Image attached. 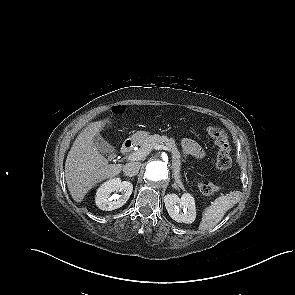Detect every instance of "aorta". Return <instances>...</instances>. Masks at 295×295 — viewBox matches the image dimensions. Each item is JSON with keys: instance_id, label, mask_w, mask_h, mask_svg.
Segmentation results:
<instances>
[{"instance_id": "aorta-1", "label": "aorta", "mask_w": 295, "mask_h": 295, "mask_svg": "<svg viewBox=\"0 0 295 295\" xmlns=\"http://www.w3.org/2000/svg\"><path fill=\"white\" fill-rule=\"evenodd\" d=\"M168 178V167L164 162L155 160L146 165L145 179L147 183L155 185L167 181Z\"/></svg>"}]
</instances>
